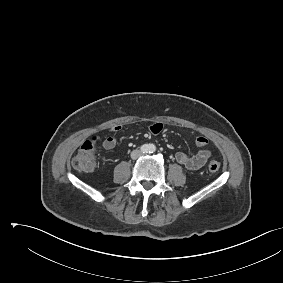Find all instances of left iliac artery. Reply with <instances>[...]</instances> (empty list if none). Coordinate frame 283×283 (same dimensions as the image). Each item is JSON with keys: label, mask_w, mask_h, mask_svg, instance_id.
I'll list each match as a JSON object with an SVG mask.
<instances>
[{"label": "left iliac artery", "mask_w": 283, "mask_h": 283, "mask_svg": "<svg viewBox=\"0 0 283 283\" xmlns=\"http://www.w3.org/2000/svg\"><path fill=\"white\" fill-rule=\"evenodd\" d=\"M155 150H156V147H155V145H150V147H149V152H151V153H153V152H155Z\"/></svg>", "instance_id": "left-iliac-artery-1"}]
</instances>
